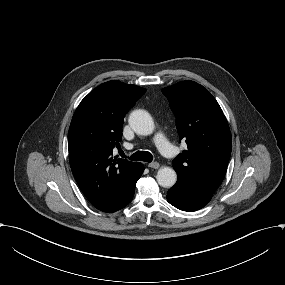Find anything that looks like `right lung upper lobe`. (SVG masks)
Instances as JSON below:
<instances>
[{"label": "right lung upper lobe", "mask_w": 285, "mask_h": 285, "mask_svg": "<svg viewBox=\"0 0 285 285\" xmlns=\"http://www.w3.org/2000/svg\"><path fill=\"white\" fill-rule=\"evenodd\" d=\"M146 89L117 80L96 87L77 107L69 128L72 173L84 195L107 212L122 199L139 162L113 159L120 147L126 112Z\"/></svg>", "instance_id": "obj_1"}]
</instances>
